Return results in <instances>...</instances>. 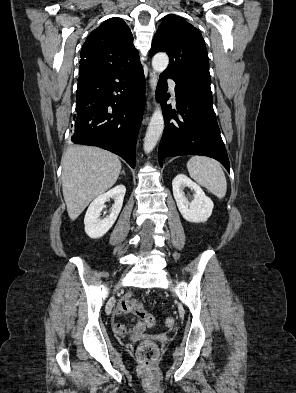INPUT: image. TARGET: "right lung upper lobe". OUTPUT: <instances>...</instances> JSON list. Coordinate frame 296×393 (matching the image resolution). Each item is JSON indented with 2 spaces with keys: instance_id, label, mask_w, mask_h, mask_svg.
Instances as JSON below:
<instances>
[{
  "instance_id": "right-lung-upper-lobe-1",
  "label": "right lung upper lobe",
  "mask_w": 296,
  "mask_h": 393,
  "mask_svg": "<svg viewBox=\"0 0 296 393\" xmlns=\"http://www.w3.org/2000/svg\"><path fill=\"white\" fill-rule=\"evenodd\" d=\"M128 25L118 17L104 21L90 33L81 49L80 67L121 70L139 65Z\"/></svg>"
}]
</instances>
